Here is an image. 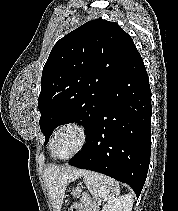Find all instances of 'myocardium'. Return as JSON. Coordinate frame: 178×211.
Returning a JSON list of instances; mask_svg holds the SVG:
<instances>
[{
	"label": "myocardium",
	"instance_id": "1",
	"mask_svg": "<svg viewBox=\"0 0 178 211\" xmlns=\"http://www.w3.org/2000/svg\"><path fill=\"white\" fill-rule=\"evenodd\" d=\"M65 129H73L79 136V142H78L77 147L70 154H68L66 156H59L56 154V151H55V141H56L58 134ZM86 143H87L86 128L82 124L77 123V122H66V123L60 125L55 130L52 140H51V143H50V150H51L52 155L55 158L60 159V160H67V159H70V158L76 156L77 154H79L84 149Z\"/></svg>",
	"mask_w": 178,
	"mask_h": 211
}]
</instances>
